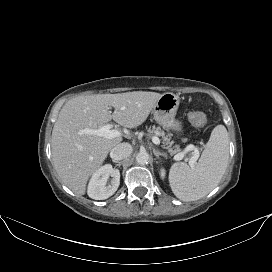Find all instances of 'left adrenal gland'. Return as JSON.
<instances>
[{
  "instance_id": "left-adrenal-gland-1",
  "label": "left adrenal gland",
  "mask_w": 272,
  "mask_h": 272,
  "mask_svg": "<svg viewBox=\"0 0 272 272\" xmlns=\"http://www.w3.org/2000/svg\"><path fill=\"white\" fill-rule=\"evenodd\" d=\"M153 153H154V155L156 156L157 159H159V156H163L165 158L167 157V155L165 153L157 151L155 149H153Z\"/></svg>"
}]
</instances>
